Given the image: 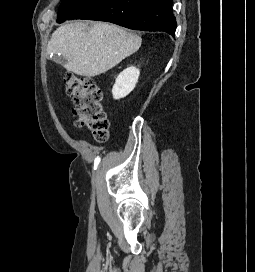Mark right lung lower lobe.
<instances>
[{
	"instance_id": "right-lung-lower-lobe-1",
	"label": "right lung lower lobe",
	"mask_w": 255,
	"mask_h": 272,
	"mask_svg": "<svg viewBox=\"0 0 255 272\" xmlns=\"http://www.w3.org/2000/svg\"><path fill=\"white\" fill-rule=\"evenodd\" d=\"M72 19L106 21L133 30L163 31L173 37L177 25L172 0H90L66 20Z\"/></svg>"
}]
</instances>
